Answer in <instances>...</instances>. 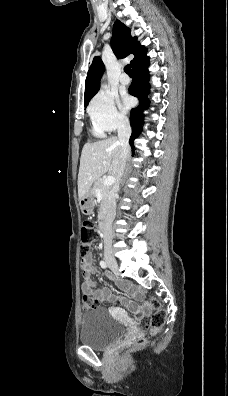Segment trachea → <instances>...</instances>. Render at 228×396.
<instances>
[{"label": "trachea", "mask_w": 228, "mask_h": 396, "mask_svg": "<svg viewBox=\"0 0 228 396\" xmlns=\"http://www.w3.org/2000/svg\"><path fill=\"white\" fill-rule=\"evenodd\" d=\"M124 71L129 75V76H133L132 70H131V66L130 65H126L124 67Z\"/></svg>", "instance_id": "obj_1"}]
</instances>
